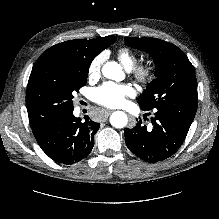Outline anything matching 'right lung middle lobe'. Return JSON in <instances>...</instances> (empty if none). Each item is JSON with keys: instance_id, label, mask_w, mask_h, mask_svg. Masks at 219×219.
I'll use <instances>...</instances> for the list:
<instances>
[{"instance_id": "right-lung-middle-lobe-1", "label": "right lung middle lobe", "mask_w": 219, "mask_h": 219, "mask_svg": "<svg viewBox=\"0 0 219 219\" xmlns=\"http://www.w3.org/2000/svg\"><path fill=\"white\" fill-rule=\"evenodd\" d=\"M90 63L56 52H44L36 61L26 92L31 127L74 109L73 94L85 86Z\"/></svg>"}]
</instances>
